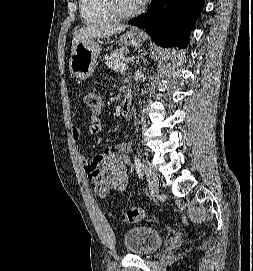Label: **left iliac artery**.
<instances>
[{"instance_id":"1","label":"left iliac artery","mask_w":253,"mask_h":271,"mask_svg":"<svg viewBox=\"0 0 253 271\" xmlns=\"http://www.w3.org/2000/svg\"><path fill=\"white\" fill-rule=\"evenodd\" d=\"M134 166L138 176L142 178L144 173V165L141 162V159L139 158V155L137 153L134 155Z\"/></svg>"}]
</instances>
